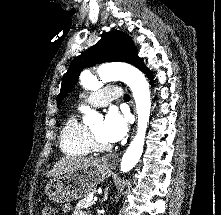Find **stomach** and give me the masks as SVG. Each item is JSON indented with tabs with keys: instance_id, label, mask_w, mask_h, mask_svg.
I'll return each mask as SVG.
<instances>
[{
	"instance_id": "0dacf381",
	"label": "stomach",
	"mask_w": 221,
	"mask_h": 215,
	"mask_svg": "<svg viewBox=\"0 0 221 215\" xmlns=\"http://www.w3.org/2000/svg\"><path fill=\"white\" fill-rule=\"evenodd\" d=\"M110 175L111 169L101 160H95L83 169L49 180L45 194L56 203L82 199L93 193Z\"/></svg>"
}]
</instances>
